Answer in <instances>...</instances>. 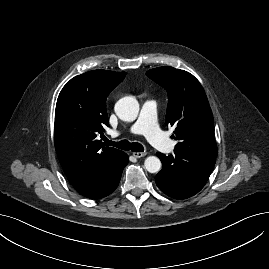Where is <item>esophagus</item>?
I'll return each instance as SVG.
<instances>
[{
    "label": "esophagus",
    "instance_id": "34e87169",
    "mask_svg": "<svg viewBox=\"0 0 269 269\" xmlns=\"http://www.w3.org/2000/svg\"><path fill=\"white\" fill-rule=\"evenodd\" d=\"M146 154H147L146 152H134L133 156L136 158H141V157L146 156Z\"/></svg>",
    "mask_w": 269,
    "mask_h": 269
}]
</instances>
